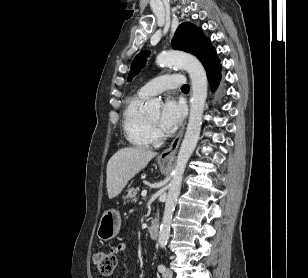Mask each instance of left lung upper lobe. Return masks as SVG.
I'll list each match as a JSON object with an SVG mask.
<instances>
[{"mask_svg": "<svg viewBox=\"0 0 308 278\" xmlns=\"http://www.w3.org/2000/svg\"><path fill=\"white\" fill-rule=\"evenodd\" d=\"M172 47L195 55L203 64L206 71L216 67L220 60L210 40L205 37L202 30L195 25L186 22L179 25L172 39ZM149 51H142L133 60L128 82L131 81L146 64Z\"/></svg>", "mask_w": 308, "mask_h": 278, "instance_id": "1", "label": "left lung upper lobe"}]
</instances>
